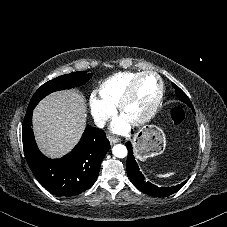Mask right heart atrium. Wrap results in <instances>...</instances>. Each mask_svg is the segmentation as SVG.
Wrapping results in <instances>:
<instances>
[{"label": "right heart atrium", "mask_w": 227, "mask_h": 227, "mask_svg": "<svg viewBox=\"0 0 227 227\" xmlns=\"http://www.w3.org/2000/svg\"><path fill=\"white\" fill-rule=\"evenodd\" d=\"M90 112L97 125H103L113 115V107L102 102L98 98L90 99Z\"/></svg>", "instance_id": "1"}]
</instances>
